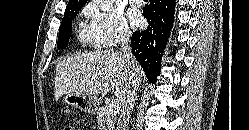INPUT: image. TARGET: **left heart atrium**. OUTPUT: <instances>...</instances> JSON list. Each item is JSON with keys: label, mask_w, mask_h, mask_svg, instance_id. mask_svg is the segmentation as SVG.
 I'll return each mask as SVG.
<instances>
[{"label": "left heart atrium", "mask_w": 249, "mask_h": 130, "mask_svg": "<svg viewBox=\"0 0 249 130\" xmlns=\"http://www.w3.org/2000/svg\"><path fill=\"white\" fill-rule=\"evenodd\" d=\"M132 20H133L134 25H137V26L140 25L142 22V19L139 15H134Z\"/></svg>", "instance_id": "39dd6f15"}]
</instances>
